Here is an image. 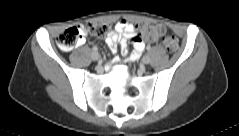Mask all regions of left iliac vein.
Segmentation results:
<instances>
[{"instance_id": "left-iliac-vein-1", "label": "left iliac vein", "mask_w": 239, "mask_h": 136, "mask_svg": "<svg viewBox=\"0 0 239 136\" xmlns=\"http://www.w3.org/2000/svg\"><path fill=\"white\" fill-rule=\"evenodd\" d=\"M150 62V58H149V56H144L143 58H142V63L143 64H148Z\"/></svg>"}]
</instances>
